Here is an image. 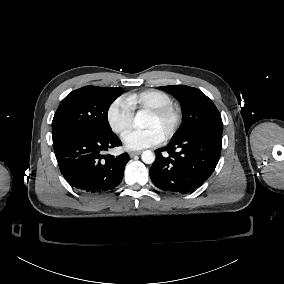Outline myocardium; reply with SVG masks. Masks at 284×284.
Here are the masks:
<instances>
[{
	"instance_id": "obj_1",
	"label": "myocardium",
	"mask_w": 284,
	"mask_h": 284,
	"mask_svg": "<svg viewBox=\"0 0 284 284\" xmlns=\"http://www.w3.org/2000/svg\"><path fill=\"white\" fill-rule=\"evenodd\" d=\"M150 115L156 118H167L169 120V126L167 132L163 136V141L170 140L179 128L181 115L179 109L173 105H165L155 109L149 110Z\"/></svg>"
}]
</instances>
